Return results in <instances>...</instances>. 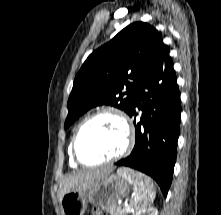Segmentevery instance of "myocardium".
Instances as JSON below:
<instances>
[{
  "label": "myocardium",
  "instance_id": "obj_1",
  "mask_svg": "<svg viewBox=\"0 0 221 215\" xmlns=\"http://www.w3.org/2000/svg\"><path fill=\"white\" fill-rule=\"evenodd\" d=\"M112 115L115 118H117L119 120V122L121 123V125L123 126L124 132H125V142L124 145L122 147V149L117 152L116 154H114L113 156L99 161V162H85L84 160H82V158L79 155L78 152V140L79 137L83 131V129L95 118L101 116V115ZM134 141H135V131H134V127L132 125V123L130 122L129 118L126 116V114L116 108V107H112V106H106V107H102L98 110H96L95 112H93L92 114H90L89 116H87L82 122L81 124L78 126L77 130L75 131L72 140H71V155L74 159V161L84 167H94V166H100V165H104V164H108L114 161H117L119 159H121L122 157L126 156L133 148L134 145Z\"/></svg>",
  "mask_w": 221,
  "mask_h": 215
}]
</instances>
